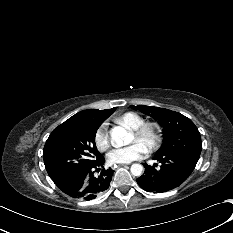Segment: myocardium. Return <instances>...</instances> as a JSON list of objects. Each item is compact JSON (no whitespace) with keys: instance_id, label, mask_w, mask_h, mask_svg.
Instances as JSON below:
<instances>
[{"instance_id":"myocardium-1","label":"myocardium","mask_w":233,"mask_h":233,"mask_svg":"<svg viewBox=\"0 0 233 233\" xmlns=\"http://www.w3.org/2000/svg\"><path fill=\"white\" fill-rule=\"evenodd\" d=\"M131 133L138 139H143L151 135V139L146 147L149 153L156 151L163 140V129L157 121H144L138 127L131 129Z\"/></svg>"}]
</instances>
